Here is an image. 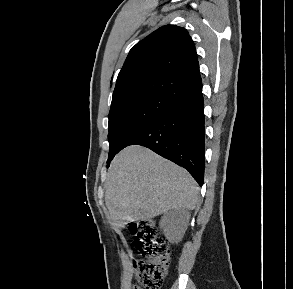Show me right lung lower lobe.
Returning a JSON list of instances; mask_svg holds the SVG:
<instances>
[{"label": "right lung lower lobe", "mask_w": 293, "mask_h": 289, "mask_svg": "<svg viewBox=\"0 0 293 289\" xmlns=\"http://www.w3.org/2000/svg\"><path fill=\"white\" fill-rule=\"evenodd\" d=\"M129 145L145 146L181 165L202 186L205 166L202 91L174 104L138 132L126 146Z\"/></svg>", "instance_id": "1"}]
</instances>
